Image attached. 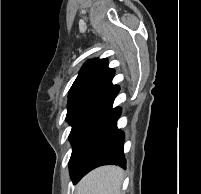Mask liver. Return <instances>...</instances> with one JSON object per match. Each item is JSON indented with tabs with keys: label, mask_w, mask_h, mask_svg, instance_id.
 I'll list each match as a JSON object with an SVG mask.
<instances>
[{
	"label": "liver",
	"mask_w": 201,
	"mask_h": 194,
	"mask_svg": "<svg viewBox=\"0 0 201 194\" xmlns=\"http://www.w3.org/2000/svg\"><path fill=\"white\" fill-rule=\"evenodd\" d=\"M123 170L102 166L88 173L77 185V194H121Z\"/></svg>",
	"instance_id": "liver-1"
}]
</instances>
